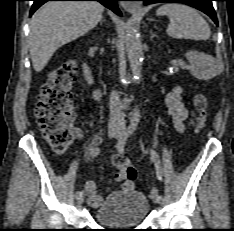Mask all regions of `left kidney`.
Masks as SVG:
<instances>
[{
	"mask_svg": "<svg viewBox=\"0 0 234 231\" xmlns=\"http://www.w3.org/2000/svg\"><path fill=\"white\" fill-rule=\"evenodd\" d=\"M185 57L190 63L191 74L199 80H210L224 69L222 62L202 52L188 51Z\"/></svg>",
	"mask_w": 234,
	"mask_h": 231,
	"instance_id": "5707ae66",
	"label": "left kidney"
}]
</instances>
